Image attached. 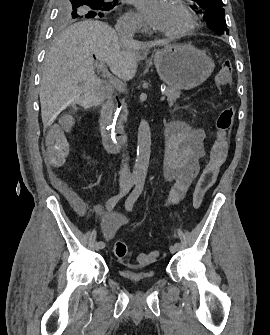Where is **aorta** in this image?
<instances>
[{"label":"aorta","mask_w":270,"mask_h":335,"mask_svg":"<svg viewBox=\"0 0 270 335\" xmlns=\"http://www.w3.org/2000/svg\"><path fill=\"white\" fill-rule=\"evenodd\" d=\"M151 130L146 120H141L138 128L137 156L132 179L145 181L151 154Z\"/></svg>","instance_id":"obj_1"}]
</instances>
